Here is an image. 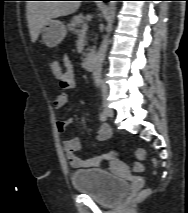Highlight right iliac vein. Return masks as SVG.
<instances>
[{"label":"right iliac vein","instance_id":"1","mask_svg":"<svg viewBox=\"0 0 188 213\" xmlns=\"http://www.w3.org/2000/svg\"><path fill=\"white\" fill-rule=\"evenodd\" d=\"M106 112L109 113L110 115H113V112L111 109H109L108 107L105 108Z\"/></svg>","mask_w":188,"mask_h":213}]
</instances>
